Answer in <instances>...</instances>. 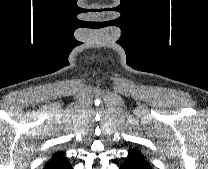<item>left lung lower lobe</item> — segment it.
Wrapping results in <instances>:
<instances>
[{"label":"left lung lower lobe","instance_id":"0a47b994","mask_svg":"<svg viewBox=\"0 0 208 169\" xmlns=\"http://www.w3.org/2000/svg\"><path fill=\"white\" fill-rule=\"evenodd\" d=\"M119 169H152V167L140 151L130 150Z\"/></svg>","mask_w":208,"mask_h":169}]
</instances>
